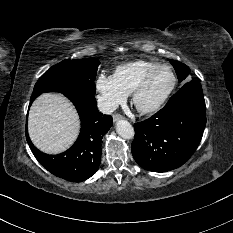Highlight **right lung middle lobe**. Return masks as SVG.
<instances>
[{"mask_svg":"<svg viewBox=\"0 0 233 233\" xmlns=\"http://www.w3.org/2000/svg\"><path fill=\"white\" fill-rule=\"evenodd\" d=\"M99 64L97 59L89 58L64 60L52 66L36 83L31 99L50 91L95 95L94 80Z\"/></svg>","mask_w":233,"mask_h":233,"instance_id":"right-lung-middle-lobe-1","label":"right lung middle lobe"}]
</instances>
